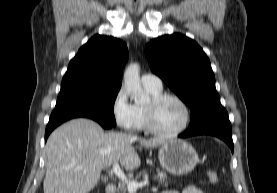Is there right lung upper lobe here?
<instances>
[{
	"instance_id": "cb5924a9",
	"label": "right lung upper lobe",
	"mask_w": 277,
	"mask_h": 193,
	"mask_svg": "<svg viewBox=\"0 0 277 193\" xmlns=\"http://www.w3.org/2000/svg\"><path fill=\"white\" fill-rule=\"evenodd\" d=\"M127 46L114 37L95 35L70 61L61 90L74 87L120 89Z\"/></svg>"
}]
</instances>
